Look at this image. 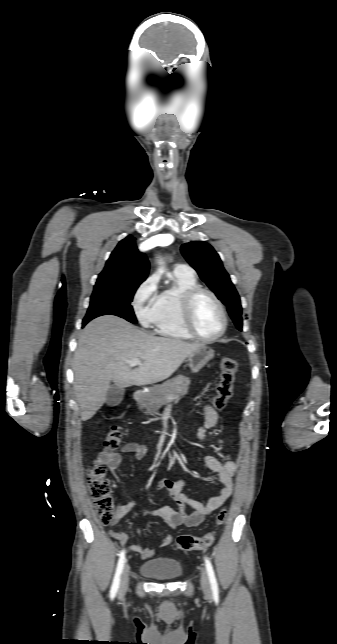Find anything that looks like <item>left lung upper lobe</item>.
I'll use <instances>...</instances> for the list:
<instances>
[{
    "label": "left lung upper lobe",
    "mask_w": 337,
    "mask_h": 644,
    "mask_svg": "<svg viewBox=\"0 0 337 644\" xmlns=\"http://www.w3.org/2000/svg\"><path fill=\"white\" fill-rule=\"evenodd\" d=\"M181 252L200 278L226 305L238 330H242V307L239 295L214 248L203 242L183 244Z\"/></svg>",
    "instance_id": "left-lung-upper-lobe-1"
}]
</instances>
